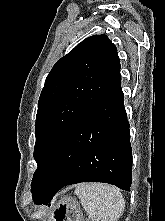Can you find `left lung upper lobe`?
I'll return each instance as SVG.
<instances>
[{
    "label": "left lung upper lobe",
    "instance_id": "left-lung-upper-lobe-1",
    "mask_svg": "<svg viewBox=\"0 0 165 221\" xmlns=\"http://www.w3.org/2000/svg\"><path fill=\"white\" fill-rule=\"evenodd\" d=\"M120 75L116 46L106 35H93L60 58L48 74L36 115L31 192L45 173L69 130L104 95Z\"/></svg>",
    "mask_w": 165,
    "mask_h": 221
}]
</instances>
